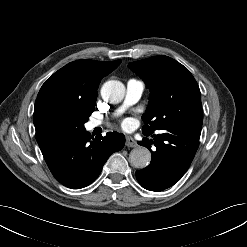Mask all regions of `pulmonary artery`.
<instances>
[{
	"instance_id": "1",
	"label": "pulmonary artery",
	"mask_w": 247,
	"mask_h": 247,
	"mask_svg": "<svg viewBox=\"0 0 247 247\" xmlns=\"http://www.w3.org/2000/svg\"><path fill=\"white\" fill-rule=\"evenodd\" d=\"M144 88H145V85L142 81L136 80V79L129 80L127 82V86H126V95H125L124 104L119 111H122L126 107L133 105L136 102H138L142 96ZM102 124H103L102 120L92 119L88 123V128L94 129L95 127H98Z\"/></svg>"
}]
</instances>
